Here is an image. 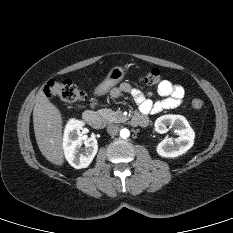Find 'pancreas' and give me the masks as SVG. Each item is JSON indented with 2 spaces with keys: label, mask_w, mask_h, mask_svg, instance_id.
<instances>
[{
  "label": "pancreas",
  "mask_w": 233,
  "mask_h": 233,
  "mask_svg": "<svg viewBox=\"0 0 233 233\" xmlns=\"http://www.w3.org/2000/svg\"><path fill=\"white\" fill-rule=\"evenodd\" d=\"M98 114L102 116L104 119H106L108 122L119 123L125 121L120 112H114L111 109H100L98 110Z\"/></svg>",
  "instance_id": "obj_1"
}]
</instances>
